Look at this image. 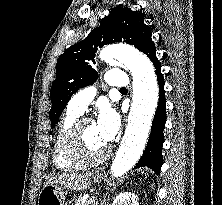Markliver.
I'll use <instances>...</instances> for the list:
<instances>
[{
  "mask_svg": "<svg viewBox=\"0 0 222 205\" xmlns=\"http://www.w3.org/2000/svg\"><path fill=\"white\" fill-rule=\"evenodd\" d=\"M92 176L93 173L91 172L85 174H64L52 177L48 183H58L64 185V187L80 191L89 188Z\"/></svg>",
  "mask_w": 222,
  "mask_h": 205,
  "instance_id": "1",
  "label": "liver"
}]
</instances>
